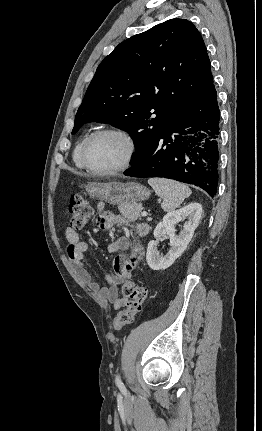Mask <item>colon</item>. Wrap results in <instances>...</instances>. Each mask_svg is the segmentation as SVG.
Wrapping results in <instances>:
<instances>
[{"label":"colon","instance_id":"1","mask_svg":"<svg viewBox=\"0 0 262 431\" xmlns=\"http://www.w3.org/2000/svg\"><path fill=\"white\" fill-rule=\"evenodd\" d=\"M92 213L93 209L89 202L82 195L73 194L69 201V228L73 231L83 229ZM121 293L127 298V304L113 320L115 330L133 323L135 316L142 311L147 289L131 279H126L121 284Z\"/></svg>","mask_w":262,"mask_h":431}]
</instances>
